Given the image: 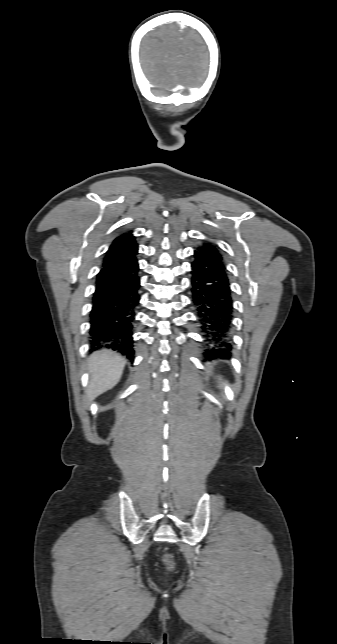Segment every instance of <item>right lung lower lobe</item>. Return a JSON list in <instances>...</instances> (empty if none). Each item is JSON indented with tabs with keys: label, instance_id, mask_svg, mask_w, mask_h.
<instances>
[{
	"label": "right lung lower lobe",
	"instance_id": "right-lung-lower-lobe-1",
	"mask_svg": "<svg viewBox=\"0 0 337 644\" xmlns=\"http://www.w3.org/2000/svg\"><path fill=\"white\" fill-rule=\"evenodd\" d=\"M138 270L134 257L105 265L98 273L90 314L93 349L106 347L133 359L132 329L140 300Z\"/></svg>",
	"mask_w": 337,
	"mask_h": 644
}]
</instances>
